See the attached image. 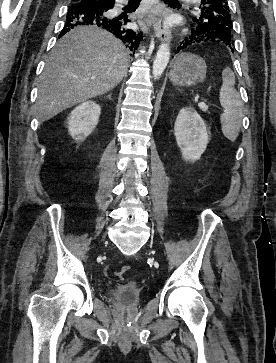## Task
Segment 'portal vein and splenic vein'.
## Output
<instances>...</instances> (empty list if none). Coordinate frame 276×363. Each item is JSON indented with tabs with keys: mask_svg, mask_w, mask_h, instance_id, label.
<instances>
[{
	"mask_svg": "<svg viewBox=\"0 0 276 363\" xmlns=\"http://www.w3.org/2000/svg\"><path fill=\"white\" fill-rule=\"evenodd\" d=\"M198 106L201 108V109H204V108H208V106L206 105L205 102L201 101L198 103Z\"/></svg>",
	"mask_w": 276,
	"mask_h": 363,
	"instance_id": "obj_1",
	"label": "portal vein and splenic vein"
}]
</instances>
